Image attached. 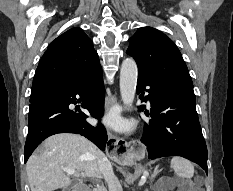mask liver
Here are the masks:
<instances>
[{
	"label": "liver",
	"mask_w": 233,
	"mask_h": 191,
	"mask_svg": "<svg viewBox=\"0 0 233 191\" xmlns=\"http://www.w3.org/2000/svg\"><path fill=\"white\" fill-rule=\"evenodd\" d=\"M104 153L87 138L60 133L43 142V150L34 153L26 164L31 191H54L68 187L72 179L62 169L76 170L74 177H100L98 161Z\"/></svg>",
	"instance_id": "liver-1"
}]
</instances>
